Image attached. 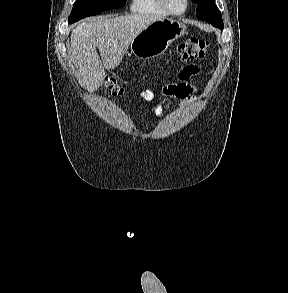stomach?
<instances>
[{
  "instance_id": "0dacf381",
  "label": "stomach",
  "mask_w": 288,
  "mask_h": 293,
  "mask_svg": "<svg viewBox=\"0 0 288 293\" xmlns=\"http://www.w3.org/2000/svg\"><path fill=\"white\" fill-rule=\"evenodd\" d=\"M185 25L172 18L152 22L130 44L131 53L139 59H150L164 53L170 44L185 33Z\"/></svg>"
}]
</instances>
